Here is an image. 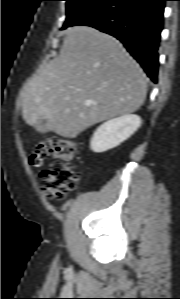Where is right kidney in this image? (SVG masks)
Instances as JSON below:
<instances>
[{
  "label": "right kidney",
  "mask_w": 180,
  "mask_h": 299,
  "mask_svg": "<svg viewBox=\"0 0 180 299\" xmlns=\"http://www.w3.org/2000/svg\"><path fill=\"white\" fill-rule=\"evenodd\" d=\"M140 125L141 118L134 114L123 115L103 123L91 138V150L101 153L117 147L127 140Z\"/></svg>",
  "instance_id": "obj_1"
}]
</instances>
